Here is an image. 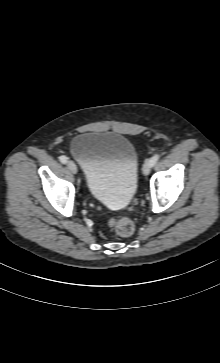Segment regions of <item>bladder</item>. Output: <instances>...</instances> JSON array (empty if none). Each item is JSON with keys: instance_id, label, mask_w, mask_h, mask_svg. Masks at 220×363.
<instances>
[{"instance_id": "bladder-1", "label": "bladder", "mask_w": 220, "mask_h": 363, "mask_svg": "<svg viewBox=\"0 0 220 363\" xmlns=\"http://www.w3.org/2000/svg\"><path fill=\"white\" fill-rule=\"evenodd\" d=\"M71 155L83 168L87 189L108 207L124 208L135 195L139 157L119 133L85 132L73 138Z\"/></svg>"}]
</instances>
